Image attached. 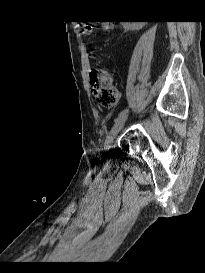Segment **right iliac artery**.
<instances>
[{
    "label": "right iliac artery",
    "mask_w": 205,
    "mask_h": 273,
    "mask_svg": "<svg viewBox=\"0 0 205 273\" xmlns=\"http://www.w3.org/2000/svg\"><path fill=\"white\" fill-rule=\"evenodd\" d=\"M128 112V109H124L122 110L119 114H118V117L122 116L123 114L127 113Z\"/></svg>",
    "instance_id": "obj_1"
}]
</instances>
